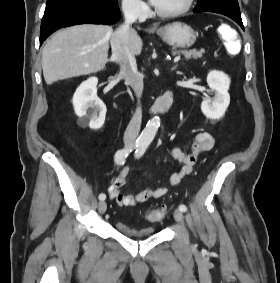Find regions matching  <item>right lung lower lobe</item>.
Instances as JSON below:
<instances>
[{"label": "right lung lower lobe", "instance_id": "1", "mask_svg": "<svg viewBox=\"0 0 280 283\" xmlns=\"http://www.w3.org/2000/svg\"><path fill=\"white\" fill-rule=\"evenodd\" d=\"M120 18L117 2L107 8L67 7L44 12L41 22L40 45L54 31L78 24H113Z\"/></svg>", "mask_w": 280, "mask_h": 283}]
</instances>
